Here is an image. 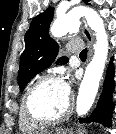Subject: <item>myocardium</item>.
Returning a JSON list of instances; mask_svg holds the SVG:
<instances>
[{"label": "myocardium", "instance_id": "1", "mask_svg": "<svg viewBox=\"0 0 116 134\" xmlns=\"http://www.w3.org/2000/svg\"><path fill=\"white\" fill-rule=\"evenodd\" d=\"M50 81H61V79L59 76L54 74H46L40 77L27 88L22 100V108L25 116L29 121L39 126H47L65 121L72 114L74 108L73 100L70 99L67 110L59 116L55 117L39 116L33 111L31 107V99L33 94L41 85Z\"/></svg>", "mask_w": 116, "mask_h": 134}]
</instances>
